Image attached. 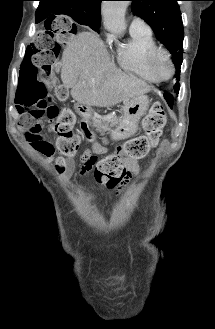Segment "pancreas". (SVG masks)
<instances>
[{
    "mask_svg": "<svg viewBox=\"0 0 215 329\" xmlns=\"http://www.w3.org/2000/svg\"><path fill=\"white\" fill-rule=\"evenodd\" d=\"M119 118H117L115 115H111L110 117H103V118H97L93 117L91 124L93 127L96 128L97 131H110L114 126H116L119 123Z\"/></svg>",
    "mask_w": 215,
    "mask_h": 329,
    "instance_id": "cf45deb5",
    "label": "pancreas"
}]
</instances>
